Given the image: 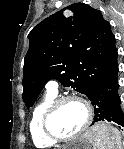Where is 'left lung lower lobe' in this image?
Returning a JSON list of instances; mask_svg holds the SVG:
<instances>
[{"instance_id": "left-lung-lower-lobe-1", "label": "left lung lower lobe", "mask_w": 124, "mask_h": 149, "mask_svg": "<svg viewBox=\"0 0 124 149\" xmlns=\"http://www.w3.org/2000/svg\"><path fill=\"white\" fill-rule=\"evenodd\" d=\"M118 67L103 76L87 92L94 108L92 125L99 121H112L124 127V114L118 94Z\"/></svg>"}]
</instances>
